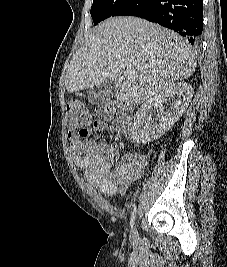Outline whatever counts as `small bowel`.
Returning a JSON list of instances; mask_svg holds the SVG:
<instances>
[{"label":"small bowel","mask_w":227,"mask_h":267,"mask_svg":"<svg viewBox=\"0 0 227 267\" xmlns=\"http://www.w3.org/2000/svg\"><path fill=\"white\" fill-rule=\"evenodd\" d=\"M112 130L120 132L116 125L107 126L101 121H94L79 127L78 131L69 130L71 156L75 165L83 170L86 180L101 193L109 194L115 186H122L141 175L145 167L142 158H132L113 171L110 169L107 151L101 152L98 144L89 139L92 132Z\"/></svg>","instance_id":"obj_1"}]
</instances>
